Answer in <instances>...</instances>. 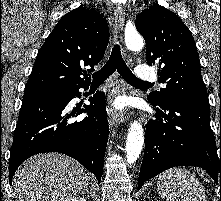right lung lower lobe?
<instances>
[{"label":"right lung lower lobe","mask_w":221,"mask_h":201,"mask_svg":"<svg viewBox=\"0 0 221 201\" xmlns=\"http://www.w3.org/2000/svg\"><path fill=\"white\" fill-rule=\"evenodd\" d=\"M89 84L60 89H25L10 151V182L19 165L29 157L60 152L73 157L101 180L109 127L104 92L89 98L84 109L68 110V103L80 97L79 89ZM88 116L74 121L82 112Z\"/></svg>","instance_id":"right-lung-lower-lobe-1"}]
</instances>
